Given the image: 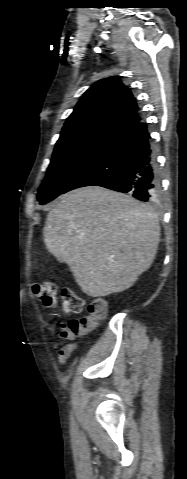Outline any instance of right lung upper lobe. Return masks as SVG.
Returning a JSON list of instances; mask_svg holds the SVG:
<instances>
[{
	"instance_id": "cb5924a9",
	"label": "right lung upper lobe",
	"mask_w": 187,
	"mask_h": 479,
	"mask_svg": "<svg viewBox=\"0 0 187 479\" xmlns=\"http://www.w3.org/2000/svg\"><path fill=\"white\" fill-rule=\"evenodd\" d=\"M141 120L130 90L116 77L99 80L79 100L62 129L67 132L93 125L109 126L123 132Z\"/></svg>"
}]
</instances>
